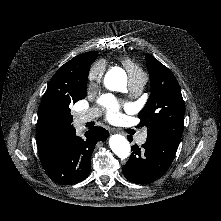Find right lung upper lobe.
Segmentation results:
<instances>
[{
    "instance_id": "obj_1",
    "label": "right lung upper lobe",
    "mask_w": 221,
    "mask_h": 221,
    "mask_svg": "<svg viewBox=\"0 0 221 221\" xmlns=\"http://www.w3.org/2000/svg\"><path fill=\"white\" fill-rule=\"evenodd\" d=\"M97 52L78 55L61 66L50 80L38 110L37 147L43 168L47 167L60 135L73 127L64 119L63 105L76 88L87 83Z\"/></svg>"
}]
</instances>
